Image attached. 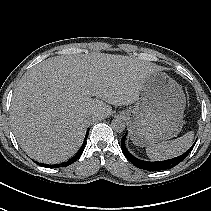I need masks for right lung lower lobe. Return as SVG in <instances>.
<instances>
[{
  "label": "right lung lower lobe",
  "mask_w": 211,
  "mask_h": 211,
  "mask_svg": "<svg viewBox=\"0 0 211 211\" xmlns=\"http://www.w3.org/2000/svg\"><path fill=\"white\" fill-rule=\"evenodd\" d=\"M88 134H89V130L86 132V135H85V139H84V142L81 146V148L79 149V151L75 154V156H73L70 160H68L67 162H64V163H61V164H57V165H49V164H44V163H38L40 166H43V167H48V168H52V167H66L68 165H71L72 163H74L77 159L80 158V156L82 155L83 153V150H84V147H85V142H86V139L88 137Z\"/></svg>",
  "instance_id": "right-lung-lower-lobe-1"
}]
</instances>
